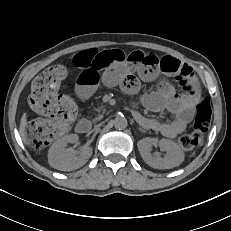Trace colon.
I'll use <instances>...</instances> for the list:
<instances>
[{
  "label": "colon",
  "mask_w": 231,
  "mask_h": 231,
  "mask_svg": "<svg viewBox=\"0 0 231 231\" xmlns=\"http://www.w3.org/2000/svg\"><path fill=\"white\" fill-rule=\"evenodd\" d=\"M122 57L135 62H141L145 58L141 51L124 52ZM93 58L95 57L80 58L76 56L74 64L80 66ZM65 75L64 67L53 66L39 74L32 83L29 105L42 118L34 119L29 123L28 139L31 145L37 149L46 147L64 134L76 116L77 109L74 102L58 92ZM180 83L185 91L190 90L185 83L181 81ZM210 122V105L208 101L202 99L197 109L193 131L179 138L180 146L185 150H192L201 145L203 137L210 127Z\"/></svg>",
  "instance_id": "colon-1"
}]
</instances>
